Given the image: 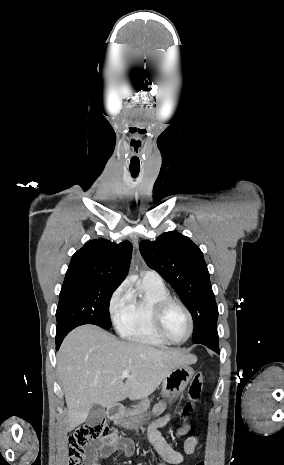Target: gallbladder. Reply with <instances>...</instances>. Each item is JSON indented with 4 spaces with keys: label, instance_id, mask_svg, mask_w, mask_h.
I'll list each match as a JSON object with an SVG mask.
<instances>
[{
    "label": "gallbladder",
    "instance_id": "obj_1",
    "mask_svg": "<svg viewBox=\"0 0 284 465\" xmlns=\"http://www.w3.org/2000/svg\"><path fill=\"white\" fill-rule=\"evenodd\" d=\"M103 419H105V409L100 407V405H93L86 419V425H89V427H96V425H100Z\"/></svg>",
    "mask_w": 284,
    "mask_h": 465
}]
</instances>
